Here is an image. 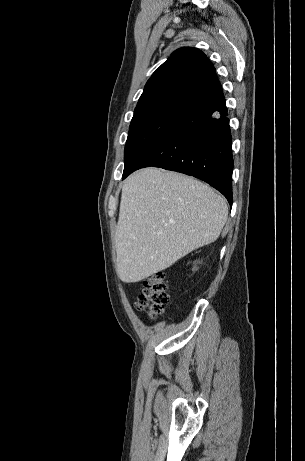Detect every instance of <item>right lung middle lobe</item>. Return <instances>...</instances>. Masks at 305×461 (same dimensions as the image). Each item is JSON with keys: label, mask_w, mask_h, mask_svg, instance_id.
<instances>
[{"label": "right lung middle lobe", "mask_w": 305, "mask_h": 461, "mask_svg": "<svg viewBox=\"0 0 305 461\" xmlns=\"http://www.w3.org/2000/svg\"><path fill=\"white\" fill-rule=\"evenodd\" d=\"M188 108L179 104H162L135 110L125 145L124 169L133 166L161 141Z\"/></svg>", "instance_id": "right-lung-middle-lobe-1"}]
</instances>
